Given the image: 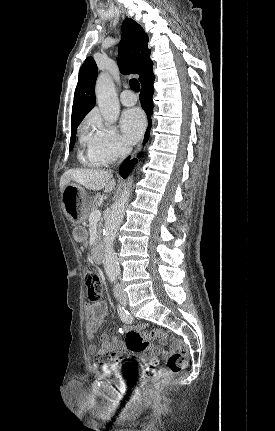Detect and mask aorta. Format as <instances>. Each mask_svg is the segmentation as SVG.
I'll return each mask as SVG.
<instances>
[{"label": "aorta", "mask_w": 275, "mask_h": 431, "mask_svg": "<svg viewBox=\"0 0 275 431\" xmlns=\"http://www.w3.org/2000/svg\"><path fill=\"white\" fill-rule=\"evenodd\" d=\"M96 98L100 112L104 120L113 124L117 121L120 113V105L115 92L114 83L107 73L99 75L96 82ZM132 179L129 178L123 192L112 205L111 212L105 221L103 229L104 240V269L111 281L120 275V266L114 250V240L125 214V205L129 199Z\"/></svg>", "instance_id": "1"}]
</instances>
